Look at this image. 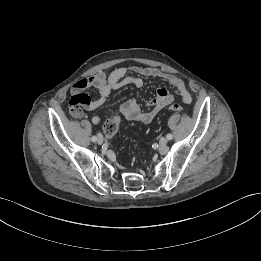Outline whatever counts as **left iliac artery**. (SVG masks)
Returning <instances> with one entry per match:
<instances>
[{
	"instance_id": "left-iliac-artery-1",
	"label": "left iliac artery",
	"mask_w": 261,
	"mask_h": 261,
	"mask_svg": "<svg viewBox=\"0 0 261 261\" xmlns=\"http://www.w3.org/2000/svg\"><path fill=\"white\" fill-rule=\"evenodd\" d=\"M166 138H167L168 140H171V139L173 138V136H172V134H167V135H166Z\"/></svg>"
}]
</instances>
